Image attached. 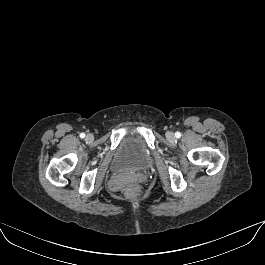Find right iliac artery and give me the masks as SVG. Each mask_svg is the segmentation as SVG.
Segmentation results:
<instances>
[{"label":"right iliac artery","instance_id":"1","mask_svg":"<svg viewBox=\"0 0 265 265\" xmlns=\"http://www.w3.org/2000/svg\"><path fill=\"white\" fill-rule=\"evenodd\" d=\"M85 137V134L84 133H81L80 134V138H84Z\"/></svg>","mask_w":265,"mask_h":265}]
</instances>
